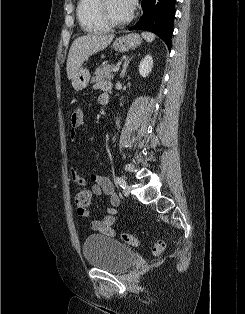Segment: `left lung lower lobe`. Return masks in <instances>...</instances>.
Returning a JSON list of instances; mask_svg holds the SVG:
<instances>
[{"label": "left lung lower lobe", "instance_id": "0a47b994", "mask_svg": "<svg viewBox=\"0 0 245 314\" xmlns=\"http://www.w3.org/2000/svg\"><path fill=\"white\" fill-rule=\"evenodd\" d=\"M176 0H142L143 15L129 30L155 33L171 50V35L175 18Z\"/></svg>", "mask_w": 245, "mask_h": 314}]
</instances>
